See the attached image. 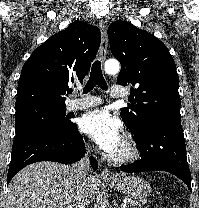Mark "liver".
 I'll return each instance as SVG.
<instances>
[{
	"label": "liver",
	"mask_w": 199,
	"mask_h": 208,
	"mask_svg": "<svg viewBox=\"0 0 199 208\" xmlns=\"http://www.w3.org/2000/svg\"><path fill=\"white\" fill-rule=\"evenodd\" d=\"M97 190L95 176L78 179L71 166L42 161L15 175L8 186L6 208H75L78 200L92 203Z\"/></svg>",
	"instance_id": "1"
}]
</instances>
